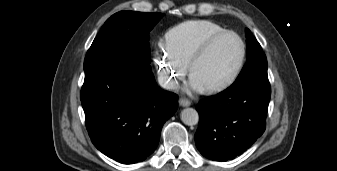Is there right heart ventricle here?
Here are the masks:
<instances>
[{"label": "right heart ventricle", "mask_w": 337, "mask_h": 171, "mask_svg": "<svg viewBox=\"0 0 337 171\" xmlns=\"http://www.w3.org/2000/svg\"><path fill=\"white\" fill-rule=\"evenodd\" d=\"M225 30L210 20H188L167 31L165 45L174 56L188 65L194 52L205 40Z\"/></svg>", "instance_id": "right-heart-ventricle-1"}]
</instances>
